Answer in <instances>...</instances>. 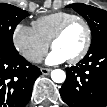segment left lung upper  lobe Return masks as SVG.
<instances>
[{
	"instance_id": "1",
	"label": "left lung upper lobe",
	"mask_w": 107,
	"mask_h": 107,
	"mask_svg": "<svg viewBox=\"0 0 107 107\" xmlns=\"http://www.w3.org/2000/svg\"><path fill=\"white\" fill-rule=\"evenodd\" d=\"M82 15L92 32L91 46L107 39V11L82 3L68 5Z\"/></svg>"
}]
</instances>
